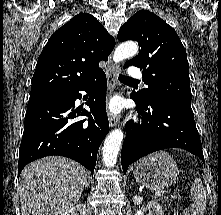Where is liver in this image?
Wrapping results in <instances>:
<instances>
[{
    "instance_id": "obj_1",
    "label": "liver",
    "mask_w": 221,
    "mask_h": 215,
    "mask_svg": "<svg viewBox=\"0 0 221 215\" xmlns=\"http://www.w3.org/2000/svg\"><path fill=\"white\" fill-rule=\"evenodd\" d=\"M87 181V170L61 156L28 164L19 186L21 215H62L78 202Z\"/></svg>"
}]
</instances>
